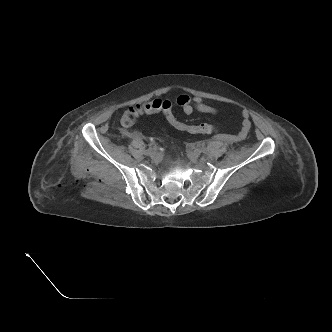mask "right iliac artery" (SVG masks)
Segmentation results:
<instances>
[{"instance_id":"obj_1","label":"right iliac artery","mask_w":332,"mask_h":332,"mask_svg":"<svg viewBox=\"0 0 332 332\" xmlns=\"http://www.w3.org/2000/svg\"><path fill=\"white\" fill-rule=\"evenodd\" d=\"M152 149H153V145H152V144H149V145L147 146L146 152H148V151H150V150H152Z\"/></svg>"}]
</instances>
